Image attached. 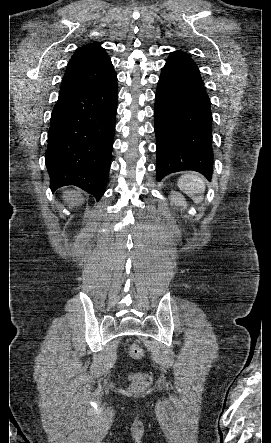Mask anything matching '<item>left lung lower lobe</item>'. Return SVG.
<instances>
[{
  "instance_id": "0a47b994",
  "label": "left lung lower lobe",
  "mask_w": 271,
  "mask_h": 443,
  "mask_svg": "<svg viewBox=\"0 0 271 443\" xmlns=\"http://www.w3.org/2000/svg\"><path fill=\"white\" fill-rule=\"evenodd\" d=\"M157 180L183 170L213 172L212 114L197 65L172 52L162 69L154 107Z\"/></svg>"
}]
</instances>
